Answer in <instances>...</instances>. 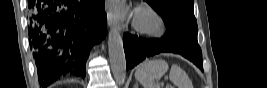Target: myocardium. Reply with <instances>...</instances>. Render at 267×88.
Segmentation results:
<instances>
[{
    "label": "myocardium",
    "instance_id": "f54148a6",
    "mask_svg": "<svg viewBox=\"0 0 267 88\" xmlns=\"http://www.w3.org/2000/svg\"><path fill=\"white\" fill-rule=\"evenodd\" d=\"M132 25L138 33L150 37H161L166 32L163 18L148 6H139L134 10Z\"/></svg>",
    "mask_w": 267,
    "mask_h": 88
}]
</instances>
